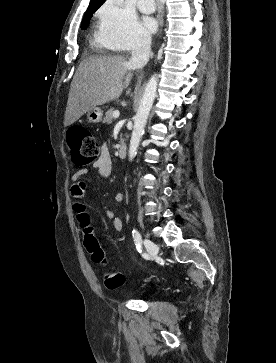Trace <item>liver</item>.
Wrapping results in <instances>:
<instances>
[{"mask_svg": "<svg viewBox=\"0 0 276 363\" xmlns=\"http://www.w3.org/2000/svg\"><path fill=\"white\" fill-rule=\"evenodd\" d=\"M134 69L120 55L84 59L71 82L64 126L73 124L90 109L118 99L130 84Z\"/></svg>", "mask_w": 276, "mask_h": 363, "instance_id": "liver-1", "label": "liver"}]
</instances>
